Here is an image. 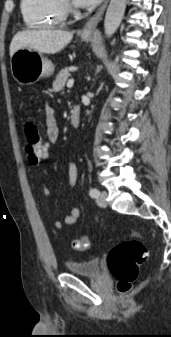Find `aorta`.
I'll return each instance as SVG.
<instances>
[{"label":"aorta","instance_id":"1","mask_svg":"<svg viewBox=\"0 0 171 337\" xmlns=\"http://www.w3.org/2000/svg\"><path fill=\"white\" fill-rule=\"evenodd\" d=\"M127 0H110L104 20L105 35L111 37L120 26Z\"/></svg>","mask_w":171,"mask_h":337}]
</instances>
